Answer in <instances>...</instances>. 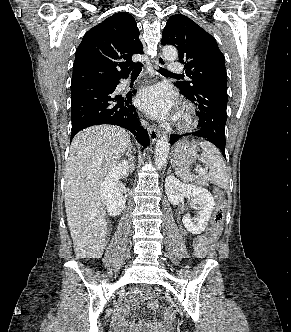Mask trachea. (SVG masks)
<instances>
[{
  "mask_svg": "<svg viewBox=\"0 0 291 332\" xmlns=\"http://www.w3.org/2000/svg\"><path fill=\"white\" fill-rule=\"evenodd\" d=\"M141 70H142L141 68L134 69V70L132 71V75H138V74H140ZM158 71H159V73H161V74L175 75V74H172V73H170L169 71L163 69L162 67H160Z\"/></svg>",
  "mask_w": 291,
  "mask_h": 332,
  "instance_id": "obj_1",
  "label": "trachea"
}]
</instances>
